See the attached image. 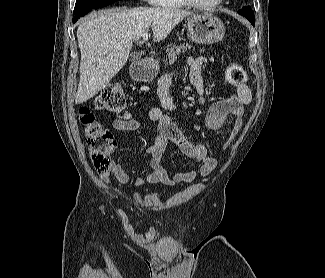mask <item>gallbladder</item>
Masks as SVG:
<instances>
[{
	"instance_id": "1",
	"label": "gallbladder",
	"mask_w": 325,
	"mask_h": 278,
	"mask_svg": "<svg viewBox=\"0 0 325 278\" xmlns=\"http://www.w3.org/2000/svg\"><path fill=\"white\" fill-rule=\"evenodd\" d=\"M140 53L139 52H132L131 54H130V59L132 60V61H136V60H139L140 59Z\"/></svg>"
}]
</instances>
